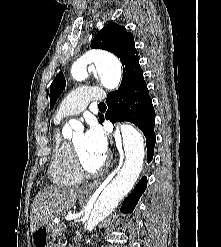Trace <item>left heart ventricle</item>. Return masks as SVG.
<instances>
[{
  "label": "left heart ventricle",
  "instance_id": "left-heart-ventricle-1",
  "mask_svg": "<svg viewBox=\"0 0 221 247\" xmlns=\"http://www.w3.org/2000/svg\"><path fill=\"white\" fill-rule=\"evenodd\" d=\"M75 147L77 148L79 154L81 155L85 165L89 169H94L95 167L98 166L100 161L102 160V157H99L93 153H91L85 144V136L84 133L79 132L76 133L72 139Z\"/></svg>",
  "mask_w": 221,
  "mask_h": 247
}]
</instances>
